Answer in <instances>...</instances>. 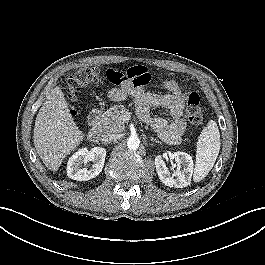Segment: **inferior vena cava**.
I'll list each match as a JSON object with an SVG mask.
<instances>
[{
  "mask_svg": "<svg viewBox=\"0 0 265 265\" xmlns=\"http://www.w3.org/2000/svg\"><path fill=\"white\" fill-rule=\"evenodd\" d=\"M120 138V134L117 133H107L104 135V142H115Z\"/></svg>",
  "mask_w": 265,
  "mask_h": 265,
  "instance_id": "602c4592",
  "label": "inferior vena cava"
}]
</instances>
